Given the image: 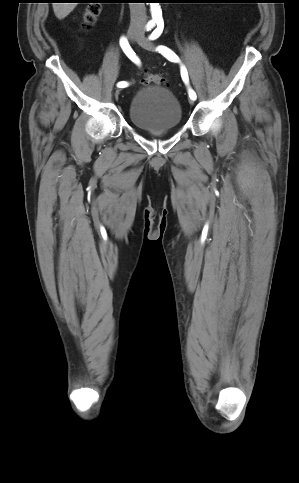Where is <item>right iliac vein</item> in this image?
I'll return each mask as SVG.
<instances>
[{"mask_svg": "<svg viewBox=\"0 0 299 483\" xmlns=\"http://www.w3.org/2000/svg\"><path fill=\"white\" fill-rule=\"evenodd\" d=\"M139 35H140V33L137 30L129 29V31H128V37H129L130 41H132V42L136 41L138 39ZM119 94H120V90H116L115 91L116 99L118 98Z\"/></svg>", "mask_w": 299, "mask_h": 483, "instance_id": "right-iliac-vein-1", "label": "right iliac vein"}]
</instances>
